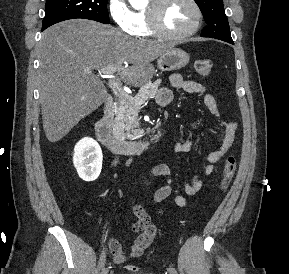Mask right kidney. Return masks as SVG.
I'll return each instance as SVG.
<instances>
[{
  "instance_id": "ca27d5eb",
  "label": "right kidney",
  "mask_w": 289,
  "mask_h": 274,
  "mask_svg": "<svg viewBox=\"0 0 289 274\" xmlns=\"http://www.w3.org/2000/svg\"><path fill=\"white\" fill-rule=\"evenodd\" d=\"M102 150L92 138L85 137L74 148L73 164L79 177L87 182L94 181L102 169Z\"/></svg>"
}]
</instances>
